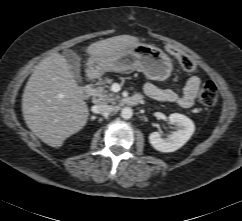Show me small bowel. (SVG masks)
Listing matches in <instances>:
<instances>
[{"label":"small bowel","instance_id":"obj_1","mask_svg":"<svg viewBox=\"0 0 242 221\" xmlns=\"http://www.w3.org/2000/svg\"><path fill=\"white\" fill-rule=\"evenodd\" d=\"M201 80L198 76H190L184 86L183 93L179 95L172 89L160 88L153 83L144 85V93L157 101L175 103L182 108H191L200 89Z\"/></svg>","mask_w":242,"mask_h":221}]
</instances>
